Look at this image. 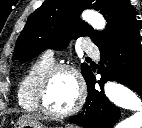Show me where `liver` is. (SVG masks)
<instances>
[{
  "mask_svg": "<svg viewBox=\"0 0 142 128\" xmlns=\"http://www.w3.org/2000/svg\"><path fill=\"white\" fill-rule=\"evenodd\" d=\"M27 118L40 119L41 117L36 114H27V115H22V117L19 118V121Z\"/></svg>",
  "mask_w": 142,
  "mask_h": 128,
  "instance_id": "1",
  "label": "liver"
}]
</instances>
